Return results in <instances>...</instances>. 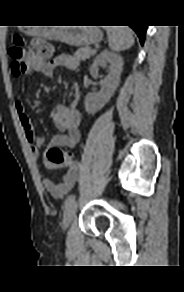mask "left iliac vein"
<instances>
[{
    "label": "left iliac vein",
    "instance_id": "4c4485c4",
    "mask_svg": "<svg viewBox=\"0 0 184 292\" xmlns=\"http://www.w3.org/2000/svg\"><path fill=\"white\" fill-rule=\"evenodd\" d=\"M77 210L76 202L69 205L65 211L64 218H63V229H67L71 223L73 222Z\"/></svg>",
    "mask_w": 184,
    "mask_h": 292
}]
</instances>
